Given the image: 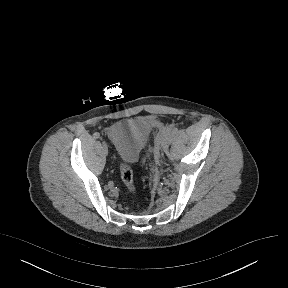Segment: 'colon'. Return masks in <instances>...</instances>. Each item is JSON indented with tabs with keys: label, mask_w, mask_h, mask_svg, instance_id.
I'll return each mask as SVG.
<instances>
[{
	"label": "colon",
	"mask_w": 288,
	"mask_h": 288,
	"mask_svg": "<svg viewBox=\"0 0 288 288\" xmlns=\"http://www.w3.org/2000/svg\"><path fill=\"white\" fill-rule=\"evenodd\" d=\"M121 179L129 191H135L134 174L129 166L123 165L121 167Z\"/></svg>",
	"instance_id": "obj_1"
}]
</instances>
